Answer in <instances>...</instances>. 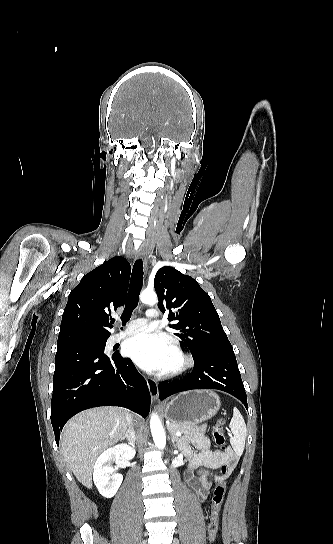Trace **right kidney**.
<instances>
[{
    "label": "right kidney",
    "mask_w": 333,
    "mask_h": 544,
    "mask_svg": "<svg viewBox=\"0 0 333 544\" xmlns=\"http://www.w3.org/2000/svg\"><path fill=\"white\" fill-rule=\"evenodd\" d=\"M135 456V449L127 444H119L105 450L97 458L94 465L93 480L99 493L106 498L113 497L118 491L123 476L113 473L112 462L121 463L124 459L130 460Z\"/></svg>",
    "instance_id": "1"
}]
</instances>
